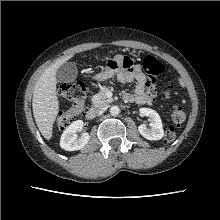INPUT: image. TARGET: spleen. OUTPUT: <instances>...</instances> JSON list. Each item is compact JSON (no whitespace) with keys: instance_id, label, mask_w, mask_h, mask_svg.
<instances>
[{"instance_id":"obj_1","label":"spleen","mask_w":220,"mask_h":220,"mask_svg":"<svg viewBox=\"0 0 220 220\" xmlns=\"http://www.w3.org/2000/svg\"><path fill=\"white\" fill-rule=\"evenodd\" d=\"M180 82H181V85L184 86L183 81H180Z\"/></svg>"}]
</instances>
